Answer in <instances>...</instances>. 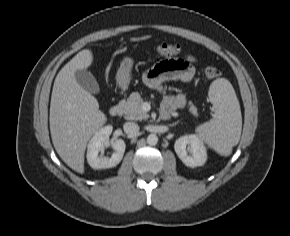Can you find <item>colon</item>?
<instances>
[{
    "label": "colon",
    "mask_w": 290,
    "mask_h": 236,
    "mask_svg": "<svg viewBox=\"0 0 290 236\" xmlns=\"http://www.w3.org/2000/svg\"><path fill=\"white\" fill-rule=\"evenodd\" d=\"M181 52V46L178 43L168 42L163 43L157 47V53L161 57L170 58L178 55ZM206 77L210 79L217 78L221 75L219 68L215 66H208L205 69Z\"/></svg>",
    "instance_id": "1"
}]
</instances>
